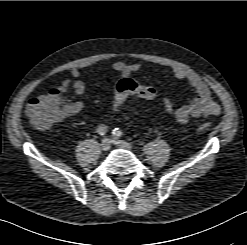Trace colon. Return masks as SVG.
<instances>
[{"instance_id": "colon-1", "label": "colon", "mask_w": 247, "mask_h": 245, "mask_svg": "<svg viewBox=\"0 0 247 245\" xmlns=\"http://www.w3.org/2000/svg\"><path fill=\"white\" fill-rule=\"evenodd\" d=\"M138 96L144 99H154L157 90L152 86L139 83L131 78H122L115 86L112 98V111L117 112L125 99L130 96ZM63 100L46 95L32 98L26 107V113L31 123L38 129H48L63 118ZM210 124L201 122L198 130H208Z\"/></svg>"}]
</instances>
